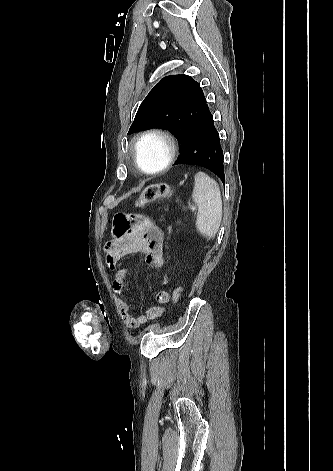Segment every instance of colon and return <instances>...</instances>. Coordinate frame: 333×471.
Wrapping results in <instances>:
<instances>
[{"label":"colon","instance_id":"obj_1","mask_svg":"<svg viewBox=\"0 0 333 471\" xmlns=\"http://www.w3.org/2000/svg\"><path fill=\"white\" fill-rule=\"evenodd\" d=\"M172 196V188L167 183H157L147 186L138 199L135 201L136 207H142L159 199H168ZM181 288L177 284L172 292V301L177 304L180 300Z\"/></svg>","mask_w":333,"mask_h":471}]
</instances>
